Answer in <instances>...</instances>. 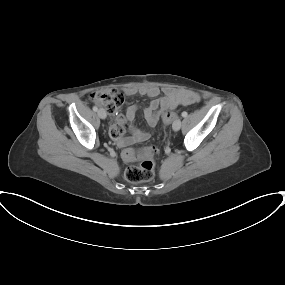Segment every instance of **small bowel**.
I'll return each instance as SVG.
<instances>
[{"instance_id":"1","label":"small bowel","mask_w":285,"mask_h":285,"mask_svg":"<svg viewBox=\"0 0 285 285\" xmlns=\"http://www.w3.org/2000/svg\"><path fill=\"white\" fill-rule=\"evenodd\" d=\"M125 93L126 95L140 94L152 99L143 111L144 118L151 127H155L158 124L162 114L166 110L174 109L178 105L194 104L200 100L199 95L195 92L173 88L166 89L164 94L160 96L161 90L157 86L128 88L125 90ZM137 111V105H128L126 107L125 116L117 115L115 122L110 127V132L115 129L124 130L126 126L131 130L132 135L130 137L116 139L121 146L143 142L150 137V133L138 129L133 125Z\"/></svg>"}]
</instances>
